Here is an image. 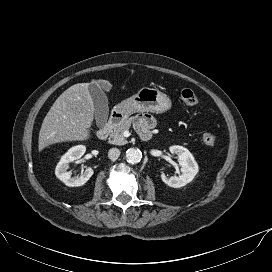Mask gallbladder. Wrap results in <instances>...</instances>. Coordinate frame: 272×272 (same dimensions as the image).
I'll return each instance as SVG.
<instances>
[{"label": "gallbladder", "instance_id": "1", "mask_svg": "<svg viewBox=\"0 0 272 272\" xmlns=\"http://www.w3.org/2000/svg\"><path fill=\"white\" fill-rule=\"evenodd\" d=\"M102 82L92 81L89 83V93L95 107V120L98 127H103L108 120V99L102 89Z\"/></svg>", "mask_w": 272, "mask_h": 272}]
</instances>
